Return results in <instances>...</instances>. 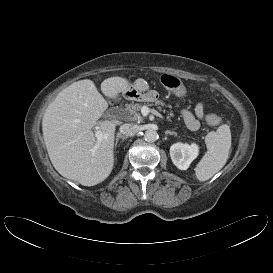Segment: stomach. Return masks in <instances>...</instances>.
<instances>
[{
  "label": "stomach",
  "instance_id": "stomach-1",
  "mask_svg": "<svg viewBox=\"0 0 273 273\" xmlns=\"http://www.w3.org/2000/svg\"><path fill=\"white\" fill-rule=\"evenodd\" d=\"M123 96L129 100L137 101H154L156 100V93L150 91L148 85L140 86L137 82L133 88H127L123 91Z\"/></svg>",
  "mask_w": 273,
  "mask_h": 273
}]
</instances>
